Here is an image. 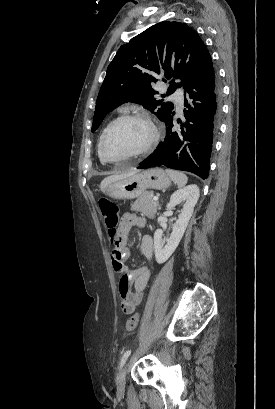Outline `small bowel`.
Listing matches in <instances>:
<instances>
[{"mask_svg": "<svg viewBox=\"0 0 275 409\" xmlns=\"http://www.w3.org/2000/svg\"><path fill=\"white\" fill-rule=\"evenodd\" d=\"M140 218L134 214L125 213L119 226V247L113 250L111 262L113 270L119 273L118 290L121 299V309L125 314H131L141 303L151 274V260L153 256V239L144 235L140 242V251L146 262L139 268L131 270L124 261L130 256L128 246L129 231L139 225Z\"/></svg>", "mask_w": 275, "mask_h": 409, "instance_id": "1", "label": "small bowel"}]
</instances>
